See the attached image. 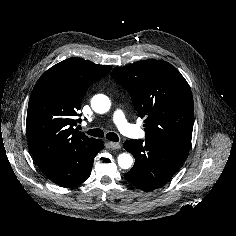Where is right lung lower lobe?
<instances>
[{
	"label": "right lung lower lobe",
	"instance_id": "1",
	"mask_svg": "<svg viewBox=\"0 0 236 236\" xmlns=\"http://www.w3.org/2000/svg\"><path fill=\"white\" fill-rule=\"evenodd\" d=\"M104 148L101 140L93 147L77 150L39 167L54 183L65 187H75L85 181L90 173L96 154Z\"/></svg>",
	"mask_w": 236,
	"mask_h": 236
}]
</instances>
